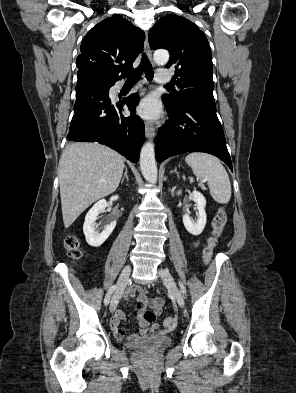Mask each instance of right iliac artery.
<instances>
[{
	"label": "right iliac artery",
	"instance_id": "right-iliac-artery-1",
	"mask_svg": "<svg viewBox=\"0 0 296 393\" xmlns=\"http://www.w3.org/2000/svg\"><path fill=\"white\" fill-rule=\"evenodd\" d=\"M116 288H117L116 285H113V286H111V287L109 288V290H108V292H107V294H106V296H105V298H104V304H105V305H108V304H109L110 297H111L112 293L116 290Z\"/></svg>",
	"mask_w": 296,
	"mask_h": 393
}]
</instances>
